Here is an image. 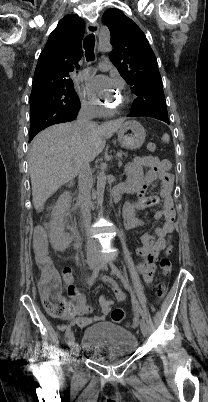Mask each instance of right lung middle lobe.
Instances as JSON below:
<instances>
[{
    "label": "right lung middle lobe",
    "mask_w": 208,
    "mask_h": 402,
    "mask_svg": "<svg viewBox=\"0 0 208 402\" xmlns=\"http://www.w3.org/2000/svg\"><path fill=\"white\" fill-rule=\"evenodd\" d=\"M79 107L72 80L42 85L30 95L31 118L74 112Z\"/></svg>",
    "instance_id": "obj_1"
}]
</instances>
